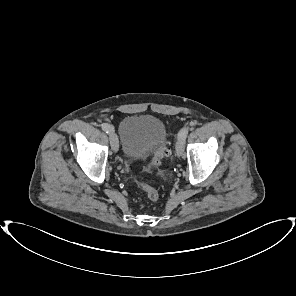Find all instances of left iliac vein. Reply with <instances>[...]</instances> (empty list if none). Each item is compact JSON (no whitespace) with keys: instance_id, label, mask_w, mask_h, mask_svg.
<instances>
[{"instance_id":"obj_1","label":"left iliac vein","mask_w":296,"mask_h":296,"mask_svg":"<svg viewBox=\"0 0 296 296\" xmlns=\"http://www.w3.org/2000/svg\"><path fill=\"white\" fill-rule=\"evenodd\" d=\"M184 144H185V139L178 138L175 146L176 154L178 157H182L184 155Z\"/></svg>"}]
</instances>
